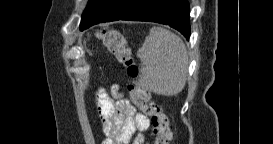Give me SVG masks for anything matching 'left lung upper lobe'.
Segmentation results:
<instances>
[{
	"label": "left lung upper lobe",
	"instance_id": "obj_1",
	"mask_svg": "<svg viewBox=\"0 0 273 144\" xmlns=\"http://www.w3.org/2000/svg\"><path fill=\"white\" fill-rule=\"evenodd\" d=\"M91 6H92V0H89L87 9L90 8Z\"/></svg>",
	"mask_w": 273,
	"mask_h": 144
}]
</instances>
